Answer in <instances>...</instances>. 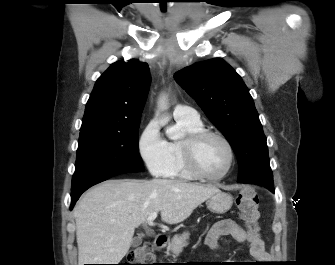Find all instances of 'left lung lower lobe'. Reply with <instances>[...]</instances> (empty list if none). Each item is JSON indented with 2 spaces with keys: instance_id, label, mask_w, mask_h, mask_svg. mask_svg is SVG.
Segmentation results:
<instances>
[{
  "instance_id": "left-lung-lower-lobe-1",
  "label": "left lung lower lobe",
  "mask_w": 335,
  "mask_h": 265,
  "mask_svg": "<svg viewBox=\"0 0 335 265\" xmlns=\"http://www.w3.org/2000/svg\"><path fill=\"white\" fill-rule=\"evenodd\" d=\"M239 183H241V182H239ZM272 191L274 192V188L272 189Z\"/></svg>"
}]
</instances>
